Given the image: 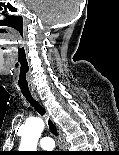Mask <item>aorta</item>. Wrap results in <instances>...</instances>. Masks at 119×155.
<instances>
[{
	"label": "aorta",
	"mask_w": 119,
	"mask_h": 155,
	"mask_svg": "<svg viewBox=\"0 0 119 155\" xmlns=\"http://www.w3.org/2000/svg\"><path fill=\"white\" fill-rule=\"evenodd\" d=\"M44 129V122L40 118H32L26 121L22 127L23 134L20 144L21 151H36L38 139Z\"/></svg>",
	"instance_id": "762f6f07"
}]
</instances>
